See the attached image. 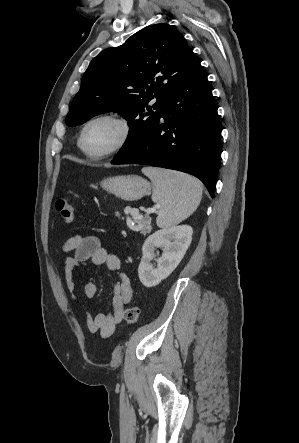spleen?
Returning a JSON list of instances; mask_svg holds the SVG:
<instances>
[{"mask_svg": "<svg viewBox=\"0 0 299 443\" xmlns=\"http://www.w3.org/2000/svg\"><path fill=\"white\" fill-rule=\"evenodd\" d=\"M153 183L152 200L159 207L158 227L169 228L188 218L202 198L201 183L180 172L145 167L142 169Z\"/></svg>", "mask_w": 299, "mask_h": 443, "instance_id": "spleen-1", "label": "spleen"}]
</instances>
